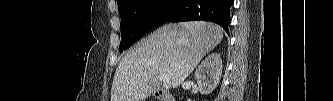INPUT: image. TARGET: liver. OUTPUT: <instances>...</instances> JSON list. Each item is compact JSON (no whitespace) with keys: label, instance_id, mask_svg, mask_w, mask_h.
I'll return each mask as SVG.
<instances>
[{"label":"liver","instance_id":"6515ba94","mask_svg":"<svg viewBox=\"0 0 333 101\" xmlns=\"http://www.w3.org/2000/svg\"><path fill=\"white\" fill-rule=\"evenodd\" d=\"M222 39V28L205 21L158 28L121 59L111 101H143L158 91L161 75L169 76L170 86L177 88Z\"/></svg>","mask_w":333,"mask_h":101}]
</instances>
